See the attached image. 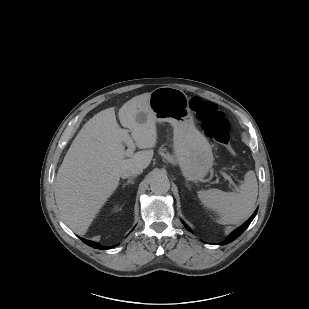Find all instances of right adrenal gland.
I'll use <instances>...</instances> for the list:
<instances>
[{"label": "right adrenal gland", "instance_id": "2a0ac1e0", "mask_svg": "<svg viewBox=\"0 0 309 309\" xmlns=\"http://www.w3.org/2000/svg\"><path fill=\"white\" fill-rule=\"evenodd\" d=\"M136 178V176H132V177H130L129 179H128V181L126 182V183H124L123 185H122V187H125L126 185H128V184H134V179Z\"/></svg>", "mask_w": 309, "mask_h": 309}]
</instances>
